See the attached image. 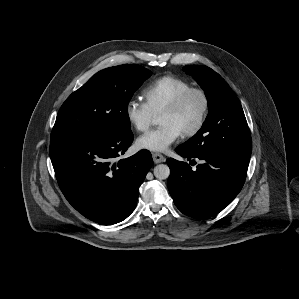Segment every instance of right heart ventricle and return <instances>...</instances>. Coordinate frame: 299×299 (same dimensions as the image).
Segmentation results:
<instances>
[{"instance_id": "obj_1", "label": "right heart ventricle", "mask_w": 299, "mask_h": 299, "mask_svg": "<svg viewBox=\"0 0 299 299\" xmlns=\"http://www.w3.org/2000/svg\"><path fill=\"white\" fill-rule=\"evenodd\" d=\"M189 81L177 76H163L143 90L145 104L153 115L160 114L178 95L191 88Z\"/></svg>"}]
</instances>
